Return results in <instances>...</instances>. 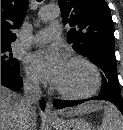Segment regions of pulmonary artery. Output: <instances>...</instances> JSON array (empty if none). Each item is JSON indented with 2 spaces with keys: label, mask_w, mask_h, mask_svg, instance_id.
Returning a JSON list of instances; mask_svg holds the SVG:
<instances>
[{
  "label": "pulmonary artery",
  "mask_w": 123,
  "mask_h": 130,
  "mask_svg": "<svg viewBox=\"0 0 123 130\" xmlns=\"http://www.w3.org/2000/svg\"><path fill=\"white\" fill-rule=\"evenodd\" d=\"M61 34V27L59 24H51L49 27L37 32L31 38L34 44H44L55 39H58Z\"/></svg>",
  "instance_id": "e3ab8cb5"
}]
</instances>
